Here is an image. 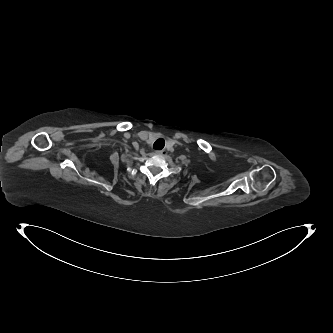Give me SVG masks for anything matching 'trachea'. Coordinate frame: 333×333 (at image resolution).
<instances>
[{
	"label": "trachea",
	"mask_w": 333,
	"mask_h": 333,
	"mask_svg": "<svg viewBox=\"0 0 333 333\" xmlns=\"http://www.w3.org/2000/svg\"><path fill=\"white\" fill-rule=\"evenodd\" d=\"M164 146H165V141H164V139H161V138L156 140L153 144V148L158 149V150L163 149Z\"/></svg>",
	"instance_id": "trachea-1"
}]
</instances>
